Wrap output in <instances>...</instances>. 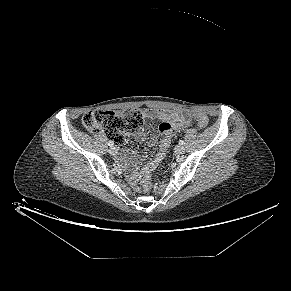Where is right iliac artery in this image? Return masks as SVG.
<instances>
[{
  "label": "right iliac artery",
  "mask_w": 291,
  "mask_h": 291,
  "mask_svg": "<svg viewBox=\"0 0 291 291\" xmlns=\"http://www.w3.org/2000/svg\"><path fill=\"white\" fill-rule=\"evenodd\" d=\"M108 145H109L110 147H113L114 144H113L112 141H109V142H108Z\"/></svg>",
  "instance_id": "obj_1"
}]
</instances>
